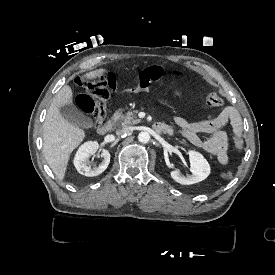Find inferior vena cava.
<instances>
[{"label": "inferior vena cava", "instance_id": "obj_1", "mask_svg": "<svg viewBox=\"0 0 275 275\" xmlns=\"http://www.w3.org/2000/svg\"><path fill=\"white\" fill-rule=\"evenodd\" d=\"M131 130H132V129H131L130 127L118 129V130L116 131V135H118V136L125 135V134L130 133Z\"/></svg>", "mask_w": 275, "mask_h": 275}]
</instances>
